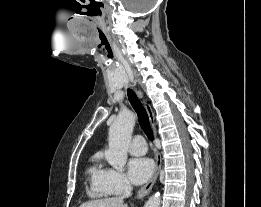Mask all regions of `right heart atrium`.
<instances>
[{
	"label": "right heart atrium",
	"instance_id": "right-heart-atrium-1",
	"mask_svg": "<svg viewBox=\"0 0 261 207\" xmlns=\"http://www.w3.org/2000/svg\"><path fill=\"white\" fill-rule=\"evenodd\" d=\"M104 184L109 194H121L130 188L126 176L114 169H106Z\"/></svg>",
	"mask_w": 261,
	"mask_h": 207
}]
</instances>
